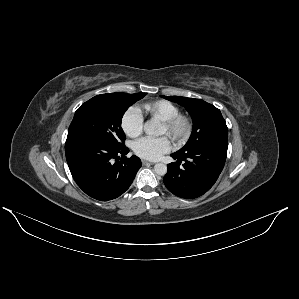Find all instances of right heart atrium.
<instances>
[{"label": "right heart atrium", "mask_w": 299, "mask_h": 299, "mask_svg": "<svg viewBox=\"0 0 299 299\" xmlns=\"http://www.w3.org/2000/svg\"><path fill=\"white\" fill-rule=\"evenodd\" d=\"M122 128L129 137H137L143 131L142 112L137 107H131L122 118Z\"/></svg>", "instance_id": "obj_1"}]
</instances>
